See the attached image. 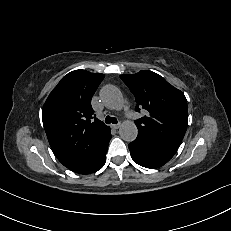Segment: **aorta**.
Masks as SVG:
<instances>
[{
    "mask_svg": "<svg viewBox=\"0 0 231 231\" xmlns=\"http://www.w3.org/2000/svg\"><path fill=\"white\" fill-rule=\"evenodd\" d=\"M100 97L109 109H119L123 104L121 91L114 85H105L100 90ZM138 134L137 126L131 121H124L119 128L120 137L127 142H132Z\"/></svg>",
    "mask_w": 231,
    "mask_h": 231,
    "instance_id": "1",
    "label": "aorta"
}]
</instances>
